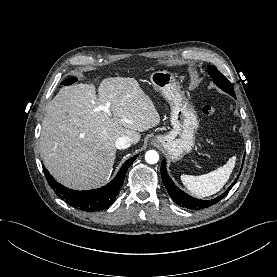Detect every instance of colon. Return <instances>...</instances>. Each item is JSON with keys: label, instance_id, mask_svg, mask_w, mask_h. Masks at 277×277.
<instances>
[{"label": "colon", "instance_id": "colon-1", "mask_svg": "<svg viewBox=\"0 0 277 277\" xmlns=\"http://www.w3.org/2000/svg\"><path fill=\"white\" fill-rule=\"evenodd\" d=\"M76 82H77V79L75 77H67L63 81V85L71 86V85L75 84ZM215 114H216V108L213 105H206L201 109L199 116L203 117V118H209V117L214 116Z\"/></svg>", "mask_w": 277, "mask_h": 277}]
</instances>
